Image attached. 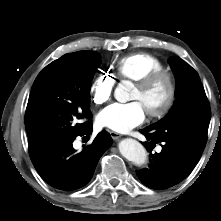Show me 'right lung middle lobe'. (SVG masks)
<instances>
[{
  "label": "right lung middle lobe",
  "mask_w": 221,
  "mask_h": 221,
  "mask_svg": "<svg viewBox=\"0 0 221 221\" xmlns=\"http://www.w3.org/2000/svg\"><path fill=\"white\" fill-rule=\"evenodd\" d=\"M100 54L83 51L62 56L36 78L29 96L25 127L29 145L76 138L91 119L90 87Z\"/></svg>",
  "instance_id": "right-lung-middle-lobe-1"
}]
</instances>
